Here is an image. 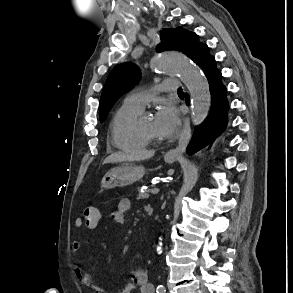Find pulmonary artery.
I'll return each instance as SVG.
<instances>
[{"instance_id": "pulmonary-artery-1", "label": "pulmonary artery", "mask_w": 293, "mask_h": 293, "mask_svg": "<svg viewBox=\"0 0 293 293\" xmlns=\"http://www.w3.org/2000/svg\"><path fill=\"white\" fill-rule=\"evenodd\" d=\"M180 86V81L177 79H167L162 81L160 84L156 86V89L161 92H172L178 90ZM153 93L148 91H134L127 95L124 99L123 104L127 106H132L134 108L143 110L146 104L149 102Z\"/></svg>"}]
</instances>
